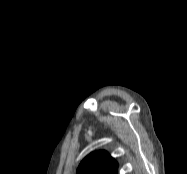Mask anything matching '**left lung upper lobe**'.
<instances>
[{
    "mask_svg": "<svg viewBox=\"0 0 187 174\" xmlns=\"http://www.w3.org/2000/svg\"><path fill=\"white\" fill-rule=\"evenodd\" d=\"M118 164L106 151H95L79 165L77 174H117Z\"/></svg>",
    "mask_w": 187,
    "mask_h": 174,
    "instance_id": "5c2ea615",
    "label": "left lung upper lobe"
}]
</instances>
